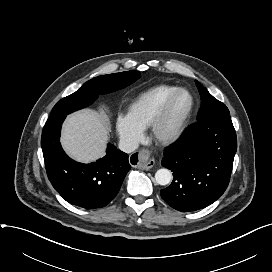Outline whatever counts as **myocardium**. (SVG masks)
Instances as JSON below:
<instances>
[{
    "label": "myocardium",
    "mask_w": 272,
    "mask_h": 272,
    "mask_svg": "<svg viewBox=\"0 0 272 272\" xmlns=\"http://www.w3.org/2000/svg\"><path fill=\"white\" fill-rule=\"evenodd\" d=\"M187 93L191 98V105L187 112V114L182 118V120L176 125V127L170 132L163 131V125L169 115L171 107L176 99V97L180 93ZM196 108V99L193 93L187 88H177L173 93L169 95V97L165 100L162 107L152 120L149 128L151 137L159 144L162 145H170L175 143L177 140L181 138L187 129L192 116L194 114Z\"/></svg>",
    "instance_id": "f54148a6"
}]
</instances>
